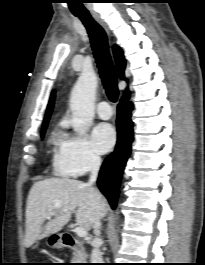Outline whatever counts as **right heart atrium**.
Segmentation results:
<instances>
[{
  "instance_id": "1",
  "label": "right heart atrium",
  "mask_w": 205,
  "mask_h": 265,
  "mask_svg": "<svg viewBox=\"0 0 205 265\" xmlns=\"http://www.w3.org/2000/svg\"><path fill=\"white\" fill-rule=\"evenodd\" d=\"M100 164V157L85 134L68 133L59 142L54 168L64 176H81Z\"/></svg>"
}]
</instances>
